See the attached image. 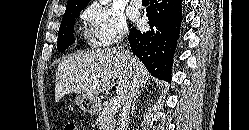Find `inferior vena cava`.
Instances as JSON below:
<instances>
[{"instance_id":"1","label":"inferior vena cava","mask_w":249,"mask_h":130,"mask_svg":"<svg viewBox=\"0 0 249 130\" xmlns=\"http://www.w3.org/2000/svg\"><path fill=\"white\" fill-rule=\"evenodd\" d=\"M126 53H129V52H126ZM139 88H140L139 83L137 82L136 79H133L122 101V111L118 119L117 130H127L131 104L133 100H135L136 95L139 91Z\"/></svg>"}]
</instances>
